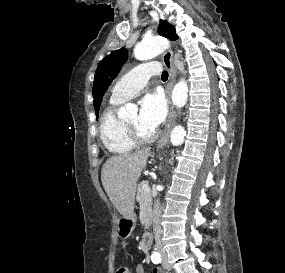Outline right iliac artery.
Instances as JSON below:
<instances>
[{
  "mask_svg": "<svg viewBox=\"0 0 285 273\" xmlns=\"http://www.w3.org/2000/svg\"><path fill=\"white\" fill-rule=\"evenodd\" d=\"M151 260L154 264H159L161 263V255L160 254L152 255Z\"/></svg>",
  "mask_w": 285,
  "mask_h": 273,
  "instance_id": "obj_1",
  "label": "right iliac artery"
}]
</instances>
